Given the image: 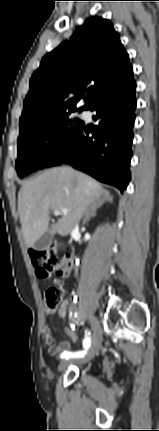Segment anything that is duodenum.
Masks as SVG:
<instances>
[{
	"label": "duodenum",
	"instance_id": "1",
	"mask_svg": "<svg viewBox=\"0 0 159 431\" xmlns=\"http://www.w3.org/2000/svg\"><path fill=\"white\" fill-rule=\"evenodd\" d=\"M67 258H69V259L71 260L72 264H73V259H72V257H71L70 255H67Z\"/></svg>",
	"mask_w": 159,
	"mask_h": 431
}]
</instances>
